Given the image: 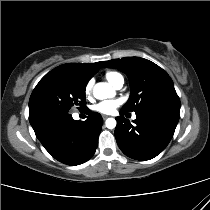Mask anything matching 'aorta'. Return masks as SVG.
<instances>
[{
  "mask_svg": "<svg viewBox=\"0 0 210 210\" xmlns=\"http://www.w3.org/2000/svg\"><path fill=\"white\" fill-rule=\"evenodd\" d=\"M93 94L96 99L103 100L114 96L115 92L109 84L100 82L95 85ZM105 124L108 129H114L117 123L114 118H108Z\"/></svg>",
  "mask_w": 210,
  "mask_h": 210,
  "instance_id": "1",
  "label": "aorta"
}]
</instances>
